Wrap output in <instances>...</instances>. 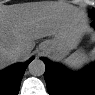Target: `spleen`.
<instances>
[{
    "mask_svg": "<svg viewBox=\"0 0 95 95\" xmlns=\"http://www.w3.org/2000/svg\"><path fill=\"white\" fill-rule=\"evenodd\" d=\"M88 62H89L88 55L82 49L75 51L64 60V64L71 68L72 70L81 69Z\"/></svg>",
    "mask_w": 95,
    "mask_h": 95,
    "instance_id": "3e777b00",
    "label": "spleen"
}]
</instances>
